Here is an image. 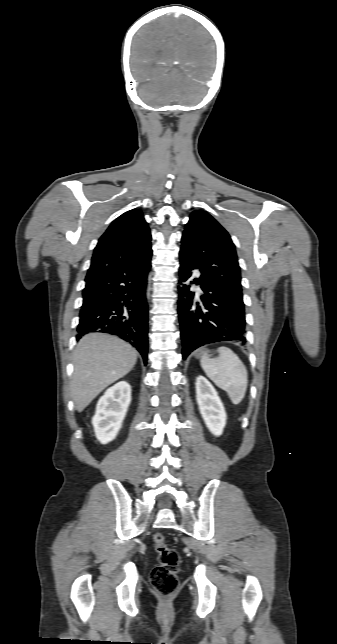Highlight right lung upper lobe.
<instances>
[{"mask_svg":"<svg viewBox=\"0 0 337 644\" xmlns=\"http://www.w3.org/2000/svg\"><path fill=\"white\" fill-rule=\"evenodd\" d=\"M151 234L142 212L133 209L119 216L101 236L86 276L90 283L126 264H138L151 254Z\"/></svg>","mask_w":337,"mask_h":644,"instance_id":"obj_1","label":"right lung upper lobe"}]
</instances>
